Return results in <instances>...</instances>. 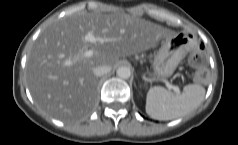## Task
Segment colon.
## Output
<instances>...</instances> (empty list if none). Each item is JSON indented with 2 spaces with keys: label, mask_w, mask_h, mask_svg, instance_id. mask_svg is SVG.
I'll use <instances>...</instances> for the list:
<instances>
[{
  "label": "colon",
  "mask_w": 238,
  "mask_h": 145,
  "mask_svg": "<svg viewBox=\"0 0 238 145\" xmlns=\"http://www.w3.org/2000/svg\"><path fill=\"white\" fill-rule=\"evenodd\" d=\"M191 65L197 70L195 74V81L198 83H204L207 77L205 69L206 65V52L205 47L201 43L191 56Z\"/></svg>",
  "instance_id": "5ec220e1"
}]
</instances>
